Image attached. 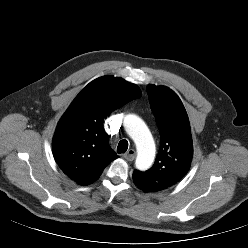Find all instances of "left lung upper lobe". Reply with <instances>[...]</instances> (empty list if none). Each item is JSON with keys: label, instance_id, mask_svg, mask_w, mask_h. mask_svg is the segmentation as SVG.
<instances>
[{"label": "left lung upper lobe", "instance_id": "left-lung-upper-lobe-1", "mask_svg": "<svg viewBox=\"0 0 248 248\" xmlns=\"http://www.w3.org/2000/svg\"><path fill=\"white\" fill-rule=\"evenodd\" d=\"M147 92L160 132V149L147 171L135 170L133 180L144 192H159L179 182L188 172L193 145L185 107L171 89L149 85Z\"/></svg>", "mask_w": 248, "mask_h": 248}]
</instances>
